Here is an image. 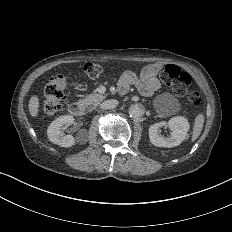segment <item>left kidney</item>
<instances>
[{"instance_id":"left-kidney-1","label":"left kidney","mask_w":232,"mask_h":232,"mask_svg":"<svg viewBox=\"0 0 232 232\" xmlns=\"http://www.w3.org/2000/svg\"><path fill=\"white\" fill-rule=\"evenodd\" d=\"M170 135L163 136L158 133V126L150 128V142L157 147L172 148L181 144L188 137L190 124L184 116H174L168 121Z\"/></svg>"}]
</instances>
